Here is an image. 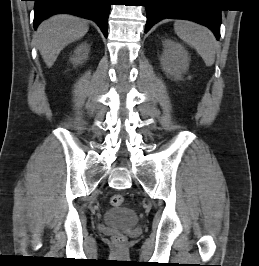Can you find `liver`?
Instances as JSON below:
<instances>
[{"label":"liver","instance_id":"1","mask_svg":"<svg viewBox=\"0 0 259 266\" xmlns=\"http://www.w3.org/2000/svg\"><path fill=\"white\" fill-rule=\"evenodd\" d=\"M88 29L87 21L67 14L43 21L37 29L36 41L46 65L52 67L60 52L68 44L81 39Z\"/></svg>","mask_w":259,"mask_h":266}]
</instances>
